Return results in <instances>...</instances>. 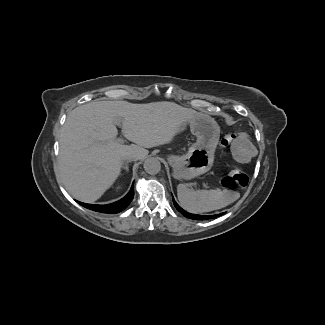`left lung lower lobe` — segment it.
<instances>
[{
  "instance_id": "1",
  "label": "left lung lower lobe",
  "mask_w": 325,
  "mask_h": 325,
  "mask_svg": "<svg viewBox=\"0 0 325 325\" xmlns=\"http://www.w3.org/2000/svg\"><path fill=\"white\" fill-rule=\"evenodd\" d=\"M173 199V203H174V206L176 207V209L181 212L185 217L187 218H191V219H195V220H205V219H211V218H214V217H217L219 215H222L224 213H220V214H216V215H198V214H192V213H188L186 212L184 209H182L174 200V198L172 197Z\"/></svg>"
}]
</instances>
